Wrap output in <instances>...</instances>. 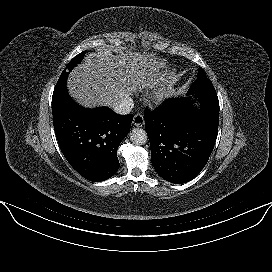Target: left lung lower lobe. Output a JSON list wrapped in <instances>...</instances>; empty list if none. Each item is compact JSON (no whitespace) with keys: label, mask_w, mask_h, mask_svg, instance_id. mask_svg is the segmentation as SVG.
<instances>
[{"label":"left lung lower lobe","mask_w":272,"mask_h":272,"mask_svg":"<svg viewBox=\"0 0 272 272\" xmlns=\"http://www.w3.org/2000/svg\"><path fill=\"white\" fill-rule=\"evenodd\" d=\"M197 109L189 98L168 99L154 111L145 110V129L151 160L165 180L182 184L194 179L206 165L215 145L219 101L215 90L197 93Z\"/></svg>","instance_id":"left-lung-lower-lobe-1"}]
</instances>
